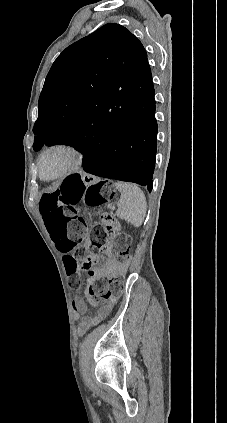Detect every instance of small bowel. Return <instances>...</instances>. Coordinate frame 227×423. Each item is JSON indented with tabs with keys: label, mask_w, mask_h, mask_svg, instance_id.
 Listing matches in <instances>:
<instances>
[{
	"label": "small bowel",
	"mask_w": 227,
	"mask_h": 423,
	"mask_svg": "<svg viewBox=\"0 0 227 423\" xmlns=\"http://www.w3.org/2000/svg\"><path fill=\"white\" fill-rule=\"evenodd\" d=\"M117 270V264L113 261H108L105 267L102 269L101 274H109ZM116 300H109L103 307H101L95 315L83 317L78 324V332L80 334L85 333L91 327L99 324L105 319L115 304ZM73 310L77 316L84 314L87 310L86 304L80 298L74 299L72 303Z\"/></svg>",
	"instance_id": "obj_1"
}]
</instances>
